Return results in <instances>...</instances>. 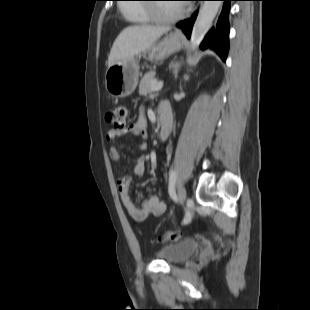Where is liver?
<instances>
[{"label": "liver", "mask_w": 310, "mask_h": 310, "mask_svg": "<svg viewBox=\"0 0 310 310\" xmlns=\"http://www.w3.org/2000/svg\"><path fill=\"white\" fill-rule=\"evenodd\" d=\"M170 27L130 26L125 28L114 41L108 56V67L128 60L147 51Z\"/></svg>", "instance_id": "obj_1"}]
</instances>
